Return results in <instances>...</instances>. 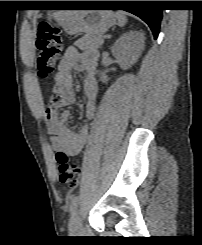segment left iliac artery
Segmentation results:
<instances>
[{
  "label": "left iliac artery",
  "instance_id": "left-iliac-artery-1",
  "mask_svg": "<svg viewBox=\"0 0 202 245\" xmlns=\"http://www.w3.org/2000/svg\"><path fill=\"white\" fill-rule=\"evenodd\" d=\"M79 203V197L78 196H74L71 200V205H70V211L74 212L75 209L77 208Z\"/></svg>",
  "mask_w": 202,
  "mask_h": 245
}]
</instances>
